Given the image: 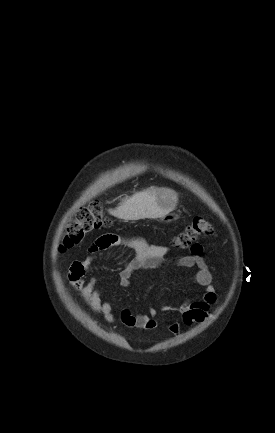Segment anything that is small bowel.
<instances>
[{
  "instance_id": "1",
  "label": "small bowel",
  "mask_w": 275,
  "mask_h": 433,
  "mask_svg": "<svg viewBox=\"0 0 275 433\" xmlns=\"http://www.w3.org/2000/svg\"><path fill=\"white\" fill-rule=\"evenodd\" d=\"M125 245L133 250L134 259L124 262L119 274V282L122 287H128L132 275L140 269H150L161 264L169 254V247L147 243L139 237L124 238L118 234H106L96 240L91 246V253L106 250L113 246ZM203 247L196 244L191 249V254L180 257L176 264L180 267L196 268L192 277L194 284L203 287L204 293L199 299H189L178 310L182 314L183 323L193 326L204 321L210 313L211 307L217 301V294L212 286V274L208 263L202 258ZM94 260L90 255L84 260H75L69 269V282L78 290L88 306L100 314L108 323L115 322L113 307L110 302L103 300L100 291L96 288V279H86ZM165 309H170L165 307ZM158 311L150 309L149 314H132L129 310H123L120 314L121 323L130 329L154 330L157 327L156 318ZM169 331L177 336L181 332V325L173 322L169 325Z\"/></svg>"
}]
</instances>
